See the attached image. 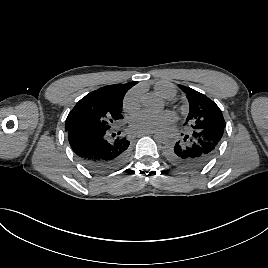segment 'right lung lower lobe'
Masks as SVG:
<instances>
[{
	"instance_id": "right-lung-lower-lobe-1",
	"label": "right lung lower lobe",
	"mask_w": 268,
	"mask_h": 268,
	"mask_svg": "<svg viewBox=\"0 0 268 268\" xmlns=\"http://www.w3.org/2000/svg\"><path fill=\"white\" fill-rule=\"evenodd\" d=\"M111 130L74 128L67 131L69 144L88 169L108 173L125 162L130 142L126 137L110 138Z\"/></svg>"
}]
</instances>
